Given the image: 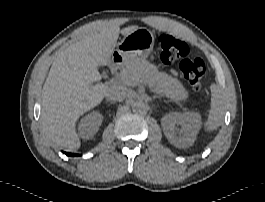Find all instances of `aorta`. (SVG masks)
<instances>
[{"instance_id":"762f6f07","label":"aorta","mask_w":265,"mask_h":202,"mask_svg":"<svg viewBox=\"0 0 265 202\" xmlns=\"http://www.w3.org/2000/svg\"><path fill=\"white\" fill-rule=\"evenodd\" d=\"M132 110L135 113H144L147 111V104L142 100H136L132 103Z\"/></svg>"}]
</instances>
